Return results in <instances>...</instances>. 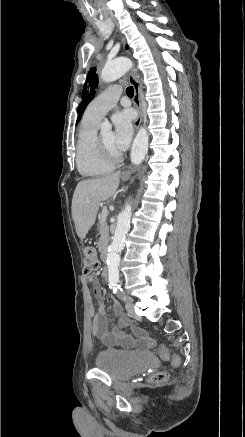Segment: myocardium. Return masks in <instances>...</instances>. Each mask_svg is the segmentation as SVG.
Segmentation results:
<instances>
[{"mask_svg":"<svg viewBox=\"0 0 245 437\" xmlns=\"http://www.w3.org/2000/svg\"><path fill=\"white\" fill-rule=\"evenodd\" d=\"M95 144H96V148H97L98 153L100 154V156H101L103 159H105V160H107V161H109V162H112V163H115V162H117V161L120 160L121 155L118 154V153H117V154L111 153V152H110V151L105 147V145L103 144V142L101 141L100 136H96Z\"/></svg>","mask_w":245,"mask_h":437,"instance_id":"f54148a6","label":"myocardium"}]
</instances>
